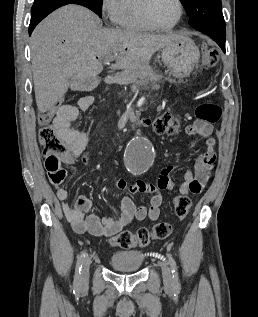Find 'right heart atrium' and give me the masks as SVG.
<instances>
[{
	"label": "right heart atrium",
	"instance_id": "d8ad5b80",
	"mask_svg": "<svg viewBox=\"0 0 258 317\" xmlns=\"http://www.w3.org/2000/svg\"><path fill=\"white\" fill-rule=\"evenodd\" d=\"M100 9L107 26H120L121 0H102Z\"/></svg>",
	"mask_w": 258,
	"mask_h": 317
}]
</instances>
